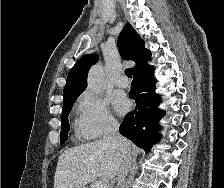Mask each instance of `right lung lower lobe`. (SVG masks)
I'll use <instances>...</instances> for the list:
<instances>
[{
	"label": "right lung lower lobe",
	"mask_w": 224,
	"mask_h": 188,
	"mask_svg": "<svg viewBox=\"0 0 224 188\" xmlns=\"http://www.w3.org/2000/svg\"><path fill=\"white\" fill-rule=\"evenodd\" d=\"M153 70V66L147 65L133 72L129 96L135 100L136 107L125 116L120 126L123 136L146 151L159 141V120L165 114L158 109L160 98L155 93Z\"/></svg>",
	"instance_id": "98d812e1"
}]
</instances>
